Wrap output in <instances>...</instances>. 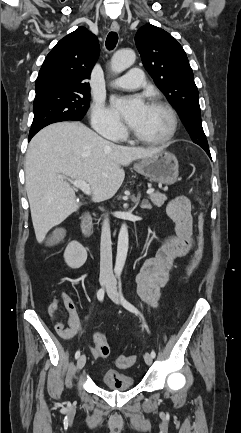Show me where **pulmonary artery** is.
<instances>
[{
    "instance_id": "e3ab8cb5",
    "label": "pulmonary artery",
    "mask_w": 241,
    "mask_h": 433,
    "mask_svg": "<svg viewBox=\"0 0 241 433\" xmlns=\"http://www.w3.org/2000/svg\"><path fill=\"white\" fill-rule=\"evenodd\" d=\"M144 74L141 69L132 68L127 75L110 82L114 87L125 90H136L144 85Z\"/></svg>"
}]
</instances>
